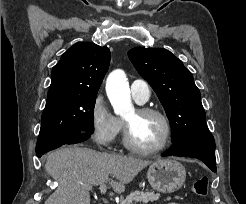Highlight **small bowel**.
<instances>
[{"mask_svg": "<svg viewBox=\"0 0 246 204\" xmlns=\"http://www.w3.org/2000/svg\"><path fill=\"white\" fill-rule=\"evenodd\" d=\"M167 204H180V203H175V202H172V203H167Z\"/></svg>", "mask_w": 246, "mask_h": 204, "instance_id": "1", "label": "small bowel"}]
</instances>
